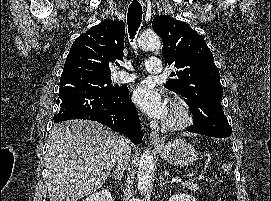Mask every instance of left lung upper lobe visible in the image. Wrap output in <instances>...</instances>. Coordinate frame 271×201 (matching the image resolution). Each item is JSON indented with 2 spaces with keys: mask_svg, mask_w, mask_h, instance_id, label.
<instances>
[{
  "mask_svg": "<svg viewBox=\"0 0 271 201\" xmlns=\"http://www.w3.org/2000/svg\"><path fill=\"white\" fill-rule=\"evenodd\" d=\"M153 30L163 41V57L178 70L164 85L186 98L194 124L202 134L228 137L232 134L222 109L223 89L214 57L202 36L189 25L166 15L156 16Z\"/></svg>",
  "mask_w": 271,
  "mask_h": 201,
  "instance_id": "5c2ea615",
  "label": "left lung upper lobe"
}]
</instances>
